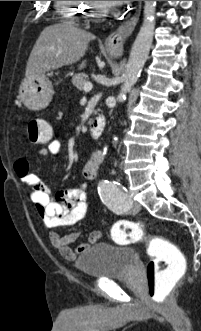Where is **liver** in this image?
Instances as JSON below:
<instances>
[{
	"instance_id": "6515ba94",
	"label": "liver",
	"mask_w": 201,
	"mask_h": 331,
	"mask_svg": "<svg viewBox=\"0 0 201 331\" xmlns=\"http://www.w3.org/2000/svg\"><path fill=\"white\" fill-rule=\"evenodd\" d=\"M96 37L72 22L46 27L38 37L28 58L25 77L43 75L46 71L68 66L79 61L88 43ZM86 66L84 60L79 69Z\"/></svg>"
}]
</instances>
